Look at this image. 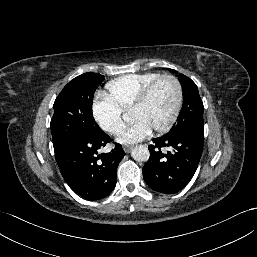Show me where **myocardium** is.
Masks as SVG:
<instances>
[{
    "label": "myocardium",
    "mask_w": 257,
    "mask_h": 257,
    "mask_svg": "<svg viewBox=\"0 0 257 257\" xmlns=\"http://www.w3.org/2000/svg\"><path fill=\"white\" fill-rule=\"evenodd\" d=\"M163 80H170L174 84L176 89V102L173 108V112L167 122L162 126L154 129L156 133H164L168 131L174 125L179 116L183 104V88L177 77L170 74H163L158 76L141 91L138 98L130 108V112L140 109L148 101L149 97L151 96L157 85Z\"/></svg>",
    "instance_id": "obj_1"
}]
</instances>
